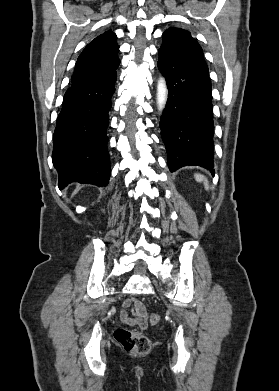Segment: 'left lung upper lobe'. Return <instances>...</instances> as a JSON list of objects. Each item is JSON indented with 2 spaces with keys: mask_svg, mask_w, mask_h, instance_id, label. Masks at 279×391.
I'll return each instance as SVG.
<instances>
[{
  "mask_svg": "<svg viewBox=\"0 0 279 391\" xmlns=\"http://www.w3.org/2000/svg\"><path fill=\"white\" fill-rule=\"evenodd\" d=\"M162 37L163 42L160 49L209 73L202 48L192 38L190 32L171 27L163 33Z\"/></svg>",
  "mask_w": 279,
  "mask_h": 391,
  "instance_id": "1",
  "label": "left lung upper lobe"
}]
</instances>
